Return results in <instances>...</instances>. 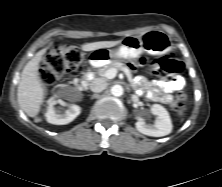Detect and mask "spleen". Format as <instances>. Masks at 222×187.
<instances>
[{
    "label": "spleen",
    "instance_id": "obj_1",
    "mask_svg": "<svg viewBox=\"0 0 222 187\" xmlns=\"http://www.w3.org/2000/svg\"><path fill=\"white\" fill-rule=\"evenodd\" d=\"M179 114H180V115L182 114V110H181V111H179Z\"/></svg>",
    "mask_w": 222,
    "mask_h": 187
}]
</instances>
